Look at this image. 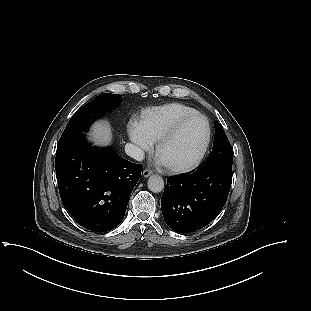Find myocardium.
Returning <instances> with one entry per match:
<instances>
[{"instance_id": "myocardium-1", "label": "myocardium", "mask_w": 311, "mask_h": 311, "mask_svg": "<svg viewBox=\"0 0 311 311\" xmlns=\"http://www.w3.org/2000/svg\"><path fill=\"white\" fill-rule=\"evenodd\" d=\"M193 118H201L204 123H205V127H206V136H205V140L204 143L201 147V149L199 150L198 154L196 155V157L186 163V164H180V165H167L164 164L165 168L172 173H186L189 172L193 169H195L203 160L210 142H211V126H210V122L207 119V117L199 112H195L189 115H186L182 118H180L167 132H165L157 141L156 144V155L158 156L160 149L162 148V146L164 144H166L168 141H170L171 139H173L177 133L180 131V129L183 127V125L185 123H187L189 120L193 119Z\"/></svg>"}]
</instances>
